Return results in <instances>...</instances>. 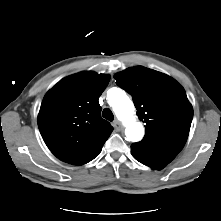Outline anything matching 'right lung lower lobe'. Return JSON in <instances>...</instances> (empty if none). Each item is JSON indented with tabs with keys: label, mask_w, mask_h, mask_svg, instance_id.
I'll return each mask as SVG.
<instances>
[{
	"label": "right lung lower lobe",
	"mask_w": 221,
	"mask_h": 221,
	"mask_svg": "<svg viewBox=\"0 0 221 221\" xmlns=\"http://www.w3.org/2000/svg\"><path fill=\"white\" fill-rule=\"evenodd\" d=\"M99 153H100V152H98L91 160H93ZM91 160H90V161H91Z\"/></svg>",
	"instance_id": "right-lung-lower-lobe-1"
}]
</instances>
